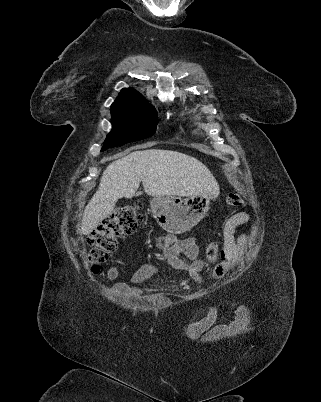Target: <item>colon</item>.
I'll return each mask as SVG.
<instances>
[{"mask_svg":"<svg viewBox=\"0 0 321 402\" xmlns=\"http://www.w3.org/2000/svg\"><path fill=\"white\" fill-rule=\"evenodd\" d=\"M243 203L241 196L236 193H230L225 200L226 206L230 208L240 207ZM142 221L140 207L127 204L118 207L95 228L87 238V256L93 272H99L101 265L116 250L118 239L135 232ZM206 256L210 263L217 261L219 246L216 242L207 246Z\"/></svg>","mask_w":321,"mask_h":402,"instance_id":"obj_1","label":"colon"}]
</instances>
